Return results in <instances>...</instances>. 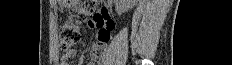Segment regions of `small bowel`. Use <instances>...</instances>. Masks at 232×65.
I'll return each instance as SVG.
<instances>
[{"label":"small bowel","mask_w":232,"mask_h":65,"mask_svg":"<svg viewBox=\"0 0 232 65\" xmlns=\"http://www.w3.org/2000/svg\"><path fill=\"white\" fill-rule=\"evenodd\" d=\"M88 26L90 28H97L98 35L97 39H100L102 35H105V39L103 40L104 45H106L111 38V32L114 28V23L110 19L108 12L106 10H101L94 14L93 18L88 22ZM94 53V48L92 51V56ZM76 56V51L75 50H68L66 51L60 59V65H68V61L73 59ZM87 65H95L94 63H89Z\"/></svg>","instance_id":"c3829d8e"}]
</instances>
